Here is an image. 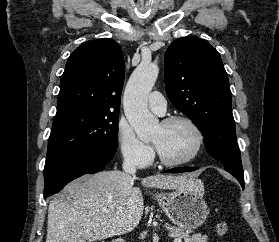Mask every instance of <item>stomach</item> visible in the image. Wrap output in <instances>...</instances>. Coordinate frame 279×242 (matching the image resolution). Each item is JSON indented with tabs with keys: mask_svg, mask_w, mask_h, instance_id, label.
I'll return each instance as SVG.
<instances>
[{
	"mask_svg": "<svg viewBox=\"0 0 279 242\" xmlns=\"http://www.w3.org/2000/svg\"><path fill=\"white\" fill-rule=\"evenodd\" d=\"M167 217L179 228L192 230L207 218L208 208L203 199V185L199 189H175L155 195Z\"/></svg>",
	"mask_w": 279,
	"mask_h": 242,
	"instance_id": "stomach-1",
	"label": "stomach"
}]
</instances>
